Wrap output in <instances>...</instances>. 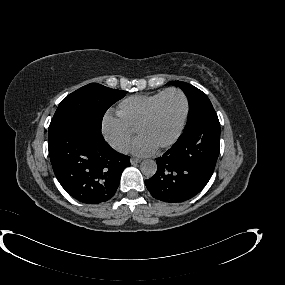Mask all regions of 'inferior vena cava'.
Listing matches in <instances>:
<instances>
[{
	"instance_id": "602c4592",
	"label": "inferior vena cava",
	"mask_w": 285,
	"mask_h": 285,
	"mask_svg": "<svg viewBox=\"0 0 285 285\" xmlns=\"http://www.w3.org/2000/svg\"><path fill=\"white\" fill-rule=\"evenodd\" d=\"M111 146L120 153L128 152V147L124 143L117 142V143L112 144Z\"/></svg>"
}]
</instances>
